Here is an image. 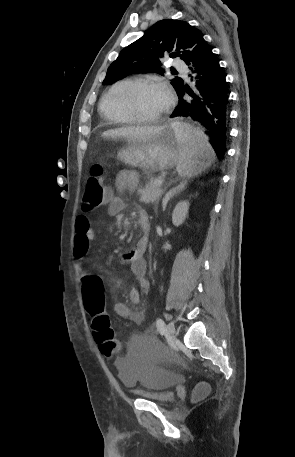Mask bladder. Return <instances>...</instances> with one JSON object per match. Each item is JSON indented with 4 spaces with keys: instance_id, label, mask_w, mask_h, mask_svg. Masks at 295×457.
<instances>
[{
    "instance_id": "1",
    "label": "bladder",
    "mask_w": 295,
    "mask_h": 457,
    "mask_svg": "<svg viewBox=\"0 0 295 457\" xmlns=\"http://www.w3.org/2000/svg\"><path fill=\"white\" fill-rule=\"evenodd\" d=\"M171 351L170 345L161 342L128 345L122 359L115 363L119 381L143 399L163 405L173 403L175 395L169 386L178 378L176 374H169L172 371L169 367H174L173 361H177L179 355Z\"/></svg>"
}]
</instances>
